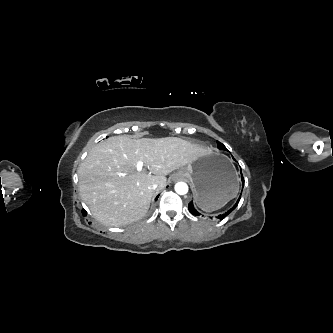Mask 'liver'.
<instances>
[{
    "label": "liver",
    "mask_w": 333,
    "mask_h": 333,
    "mask_svg": "<svg viewBox=\"0 0 333 333\" xmlns=\"http://www.w3.org/2000/svg\"><path fill=\"white\" fill-rule=\"evenodd\" d=\"M206 152L177 137H109L96 144L79 165L80 195L102 224L118 227L133 223L148 212L155 194L149 188L153 183L162 190L166 175ZM138 161L143 162L144 170L137 171Z\"/></svg>",
    "instance_id": "liver-1"
}]
</instances>
